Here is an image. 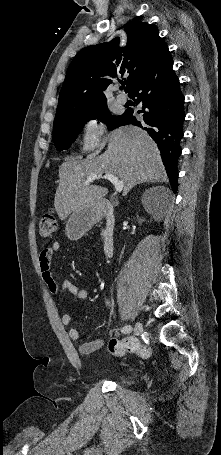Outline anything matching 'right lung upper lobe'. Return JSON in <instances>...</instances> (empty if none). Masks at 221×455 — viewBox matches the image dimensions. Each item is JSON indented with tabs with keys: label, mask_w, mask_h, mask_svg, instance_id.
<instances>
[{
	"label": "right lung upper lobe",
	"mask_w": 221,
	"mask_h": 455,
	"mask_svg": "<svg viewBox=\"0 0 221 455\" xmlns=\"http://www.w3.org/2000/svg\"><path fill=\"white\" fill-rule=\"evenodd\" d=\"M127 45L119 48V38L83 48L68 67L55 121L106 102L104 90L112 78L122 77L131 93L161 54L168 49L152 25L130 21L125 25Z\"/></svg>",
	"instance_id": "1"
}]
</instances>
